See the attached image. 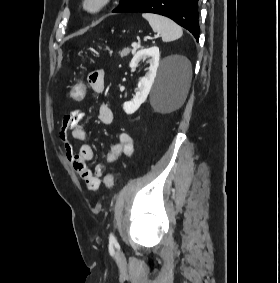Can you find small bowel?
Returning <instances> with one entry per match:
<instances>
[{"mask_svg": "<svg viewBox=\"0 0 280 283\" xmlns=\"http://www.w3.org/2000/svg\"><path fill=\"white\" fill-rule=\"evenodd\" d=\"M87 82L88 87H90L94 93H102L105 87L104 72L102 70L92 72L88 76ZM84 119L85 113L80 110H74L64 116L59 137L64 143L65 158L68 163L84 181L88 190L96 191L100 186V178L106 173L107 163L115 162L123 155L131 156L134 152V144L132 137L128 133H119L117 142L106 152L105 161L97 163L93 169H90L88 162L93 159L94 151L90 144L85 143L88 138V133L83 127ZM98 119L104 125L112 123L113 113L106 104L100 105ZM69 133H71L75 140L84 142L78 152H75L68 138Z\"/></svg>", "mask_w": 280, "mask_h": 283, "instance_id": "1", "label": "small bowel"}]
</instances>
